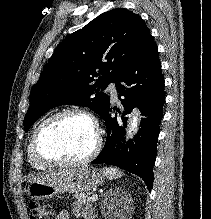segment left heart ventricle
I'll return each mask as SVG.
<instances>
[{"mask_svg":"<svg viewBox=\"0 0 211 219\" xmlns=\"http://www.w3.org/2000/svg\"><path fill=\"white\" fill-rule=\"evenodd\" d=\"M94 143V130L86 120L65 116L47 126L38 148L50 159L78 160L92 150Z\"/></svg>","mask_w":211,"mask_h":219,"instance_id":"left-heart-ventricle-1","label":"left heart ventricle"}]
</instances>
